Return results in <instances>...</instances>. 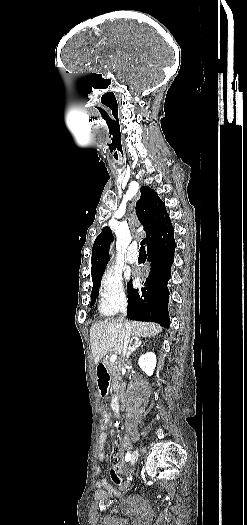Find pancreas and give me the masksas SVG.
Masks as SVG:
<instances>
[{
    "label": "pancreas",
    "instance_id": "1",
    "mask_svg": "<svg viewBox=\"0 0 247 525\" xmlns=\"http://www.w3.org/2000/svg\"><path fill=\"white\" fill-rule=\"evenodd\" d=\"M107 369H109V373H111L113 377V381H121V375H120V369H119V361H115L114 363L109 362V357H107L106 361H104Z\"/></svg>",
    "mask_w": 247,
    "mask_h": 525
}]
</instances>
